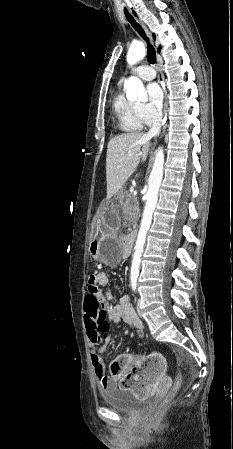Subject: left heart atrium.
<instances>
[{"label": "left heart atrium", "mask_w": 233, "mask_h": 449, "mask_svg": "<svg viewBox=\"0 0 233 449\" xmlns=\"http://www.w3.org/2000/svg\"><path fill=\"white\" fill-rule=\"evenodd\" d=\"M147 94L149 96V99L151 102L157 106L160 107L163 101V91L159 84L157 83H150L147 86Z\"/></svg>", "instance_id": "1"}]
</instances>
